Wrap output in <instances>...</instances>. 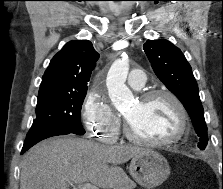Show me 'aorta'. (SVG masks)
<instances>
[{"label": "aorta", "mask_w": 223, "mask_h": 189, "mask_svg": "<svg viewBox=\"0 0 223 189\" xmlns=\"http://www.w3.org/2000/svg\"><path fill=\"white\" fill-rule=\"evenodd\" d=\"M129 71L128 61L116 60L107 75L106 85L112 104L117 110L126 109L133 102V94L125 85Z\"/></svg>", "instance_id": "762f6f07"}]
</instances>
